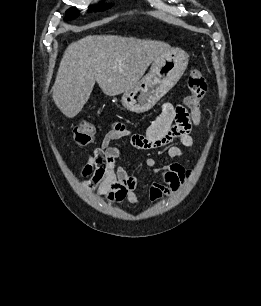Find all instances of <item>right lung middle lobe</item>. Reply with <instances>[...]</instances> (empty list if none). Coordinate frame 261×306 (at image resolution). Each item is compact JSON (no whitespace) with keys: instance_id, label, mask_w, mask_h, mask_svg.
Masks as SVG:
<instances>
[{"instance_id":"right-lung-middle-lobe-1","label":"right lung middle lobe","mask_w":261,"mask_h":306,"mask_svg":"<svg viewBox=\"0 0 261 306\" xmlns=\"http://www.w3.org/2000/svg\"><path fill=\"white\" fill-rule=\"evenodd\" d=\"M113 5L114 4H103V3H100L97 6H93L92 10H95V11H104V10H107V9L111 8ZM77 15H78L77 9L71 8V9H69L67 11V15L65 17V20L74 19L75 17H77Z\"/></svg>"}]
</instances>
